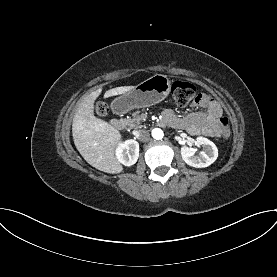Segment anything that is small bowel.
<instances>
[{"label":"small bowel","instance_id":"obj_1","mask_svg":"<svg viewBox=\"0 0 277 277\" xmlns=\"http://www.w3.org/2000/svg\"><path fill=\"white\" fill-rule=\"evenodd\" d=\"M193 105L204 108V111H196L178 117L171 110L166 109L163 112V121L172 127L184 129L192 135L222 136L223 111L220 103L208 94H203L201 99L194 102Z\"/></svg>","mask_w":277,"mask_h":277}]
</instances>
